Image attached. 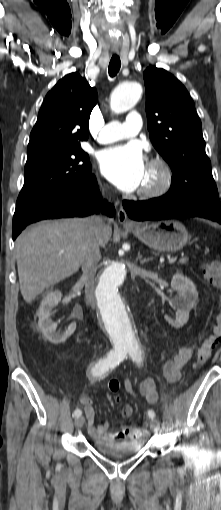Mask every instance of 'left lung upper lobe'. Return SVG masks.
<instances>
[{
  "instance_id": "5c2ea615",
  "label": "left lung upper lobe",
  "mask_w": 221,
  "mask_h": 510,
  "mask_svg": "<svg viewBox=\"0 0 221 510\" xmlns=\"http://www.w3.org/2000/svg\"><path fill=\"white\" fill-rule=\"evenodd\" d=\"M144 82L150 139L173 172L170 190L164 197L220 201L205 153L201 121L186 88L155 66L144 71Z\"/></svg>"
}]
</instances>
